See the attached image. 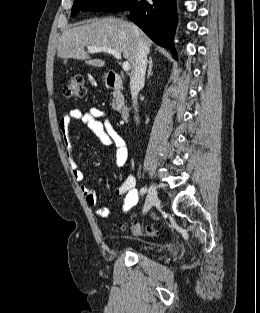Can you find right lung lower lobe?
Segmentation results:
<instances>
[{
  "label": "right lung lower lobe",
  "mask_w": 260,
  "mask_h": 313,
  "mask_svg": "<svg viewBox=\"0 0 260 313\" xmlns=\"http://www.w3.org/2000/svg\"><path fill=\"white\" fill-rule=\"evenodd\" d=\"M120 10H131L132 15L129 19L156 44L170 49L175 54L173 49V35L177 24L175 0H126L112 12Z\"/></svg>",
  "instance_id": "obj_1"
}]
</instances>
